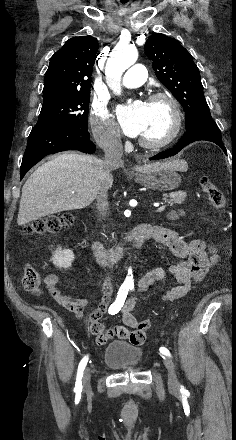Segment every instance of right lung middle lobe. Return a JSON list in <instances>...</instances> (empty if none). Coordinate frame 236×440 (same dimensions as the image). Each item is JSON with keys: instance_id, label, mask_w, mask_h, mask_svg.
I'll use <instances>...</instances> for the list:
<instances>
[{"instance_id": "1", "label": "right lung middle lobe", "mask_w": 236, "mask_h": 440, "mask_svg": "<svg viewBox=\"0 0 236 440\" xmlns=\"http://www.w3.org/2000/svg\"><path fill=\"white\" fill-rule=\"evenodd\" d=\"M90 93L42 105L35 126L75 127L87 130Z\"/></svg>"}]
</instances>
